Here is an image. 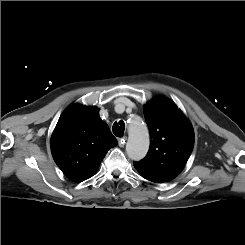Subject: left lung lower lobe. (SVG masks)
Masks as SVG:
<instances>
[{
	"label": "left lung lower lobe",
	"mask_w": 245,
	"mask_h": 245,
	"mask_svg": "<svg viewBox=\"0 0 245 245\" xmlns=\"http://www.w3.org/2000/svg\"><path fill=\"white\" fill-rule=\"evenodd\" d=\"M141 176H142V175H141ZM142 177H144L145 179L150 180V181H152V182H155V183H163V182H160V181H158V180L149 179V178H147V177H145V176H142Z\"/></svg>",
	"instance_id": "1"
}]
</instances>
